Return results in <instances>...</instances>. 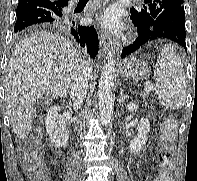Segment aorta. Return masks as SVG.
<instances>
[{"mask_svg": "<svg viewBox=\"0 0 197 181\" xmlns=\"http://www.w3.org/2000/svg\"><path fill=\"white\" fill-rule=\"evenodd\" d=\"M114 76L115 59L110 56L102 69L98 87L99 113L102 125H108L111 121Z\"/></svg>", "mask_w": 197, "mask_h": 181, "instance_id": "762f6f07", "label": "aorta"}]
</instances>
